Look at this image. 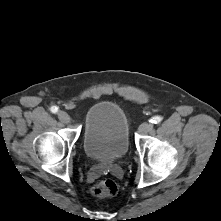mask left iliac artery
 I'll use <instances>...</instances> for the list:
<instances>
[{
	"instance_id": "left-iliac-artery-1",
	"label": "left iliac artery",
	"mask_w": 221,
	"mask_h": 221,
	"mask_svg": "<svg viewBox=\"0 0 221 221\" xmlns=\"http://www.w3.org/2000/svg\"><path fill=\"white\" fill-rule=\"evenodd\" d=\"M162 121V118L160 117V116H154L151 120H150V122L151 123H154V124H158V123H160Z\"/></svg>"
}]
</instances>
